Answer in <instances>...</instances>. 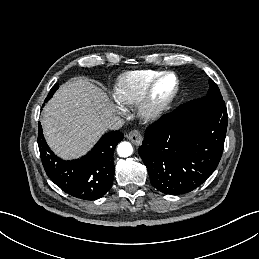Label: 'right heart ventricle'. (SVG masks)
I'll use <instances>...</instances> for the list:
<instances>
[{
    "instance_id": "e07e8e85",
    "label": "right heart ventricle",
    "mask_w": 259,
    "mask_h": 259,
    "mask_svg": "<svg viewBox=\"0 0 259 259\" xmlns=\"http://www.w3.org/2000/svg\"><path fill=\"white\" fill-rule=\"evenodd\" d=\"M160 73L155 70H135L122 74L114 90L116 99L123 105L136 104L150 81Z\"/></svg>"
}]
</instances>
